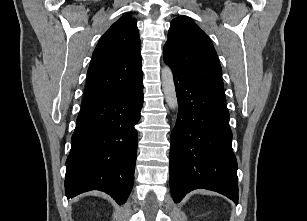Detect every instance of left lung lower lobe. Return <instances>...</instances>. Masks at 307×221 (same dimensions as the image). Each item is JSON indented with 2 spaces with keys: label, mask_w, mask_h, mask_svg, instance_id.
Returning a JSON list of instances; mask_svg holds the SVG:
<instances>
[{
  "label": "left lung lower lobe",
  "mask_w": 307,
  "mask_h": 221,
  "mask_svg": "<svg viewBox=\"0 0 307 221\" xmlns=\"http://www.w3.org/2000/svg\"><path fill=\"white\" fill-rule=\"evenodd\" d=\"M179 102L171 134L170 189L176 203L203 188L238 203L237 161L226 100L202 88L168 60Z\"/></svg>",
  "instance_id": "obj_1"
}]
</instances>
